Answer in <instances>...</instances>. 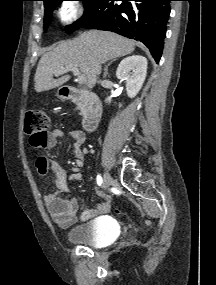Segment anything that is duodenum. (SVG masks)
Listing matches in <instances>:
<instances>
[{
	"instance_id": "duodenum-1",
	"label": "duodenum",
	"mask_w": 216,
	"mask_h": 285,
	"mask_svg": "<svg viewBox=\"0 0 216 285\" xmlns=\"http://www.w3.org/2000/svg\"><path fill=\"white\" fill-rule=\"evenodd\" d=\"M61 94L66 100L85 106L83 127L86 131L94 130L102 111L101 101L98 96L72 86L62 88Z\"/></svg>"
}]
</instances>
